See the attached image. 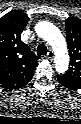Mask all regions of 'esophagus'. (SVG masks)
Listing matches in <instances>:
<instances>
[{"instance_id": "34e87169", "label": "esophagus", "mask_w": 81, "mask_h": 124, "mask_svg": "<svg viewBox=\"0 0 81 124\" xmlns=\"http://www.w3.org/2000/svg\"><path fill=\"white\" fill-rule=\"evenodd\" d=\"M48 59H53L54 57V52L52 50H49L48 53H47V56H46Z\"/></svg>"}]
</instances>
